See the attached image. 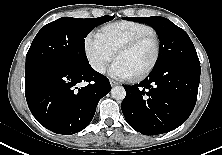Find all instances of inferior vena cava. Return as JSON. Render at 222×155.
<instances>
[{
    "instance_id": "obj_1",
    "label": "inferior vena cava",
    "mask_w": 222,
    "mask_h": 155,
    "mask_svg": "<svg viewBox=\"0 0 222 155\" xmlns=\"http://www.w3.org/2000/svg\"><path fill=\"white\" fill-rule=\"evenodd\" d=\"M95 69L101 73H105V67L102 63H98L95 67Z\"/></svg>"
}]
</instances>
